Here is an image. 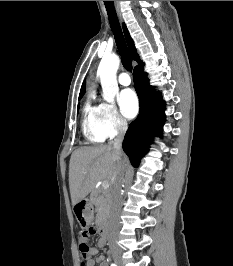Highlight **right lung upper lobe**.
<instances>
[{
	"instance_id": "1",
	"label": "right lung upper lobe",
	"mask_w": 233,
	"mask_h": 266,
	"mask_svg": "<svg viewBox=\"0 0 233 266\" xmlns=\"http://www.w3.org/2000/svg\"><path fill=\"white\" fill-rule=\"evenodd\" d=\"M123 30H124L126 42H127V45H128V48L130 50V53H131L133 60L137 61L139 64L142 63L139 59V56L136 53V49H135L133 40L131 39L125 24H123ZM84 93H85V82L83 83V85L81 87L79 97H82L84 95Z\"/></svg>"
}]
</instances>
